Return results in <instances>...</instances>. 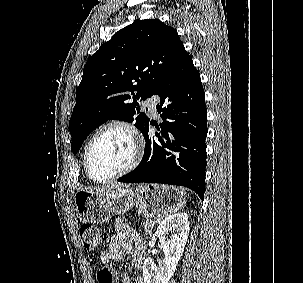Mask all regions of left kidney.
<instances>
[{"label": "left kidney", "instance_id": "1", "mask_svg": "<svg viewBox=\"0 0 303 283\" xmlns=\"http://www.w3.org/2000/svg\"><path fill=\"white\" fill-rule=\"evenodd\" d=\"M169 232L171 235L168 236ZM189 233V220L186 213H178L165 218L158 226L156 236L165 258L156 266L151 258L143 263L144 283H168L173 276L178 261L184 251Z\"/></svg>", "mask_w": 303, "mask_h": 283}]
</instances>
